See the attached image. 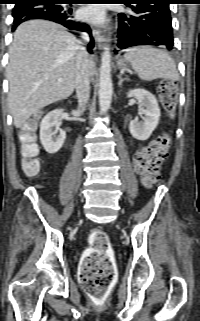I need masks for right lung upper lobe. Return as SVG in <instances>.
<instances>
[{
  "instance_id": "right-lung-upper-lobe-1",
  "label": "right lung upper lobe",
  "mask_w": 200,
  "mask_h": 321,
  "mask_svg": "<svg viewBox=\"0 0 200 321\" xmlns=\"http://www.w3.org/2000/svg\"><path fill=\"white\" fill-rule=\"evenodd\" d=\"M15 1V4L18 5V4H21L23 2H26L28 0H14Z\"/></svg>"
}]
</instances>
